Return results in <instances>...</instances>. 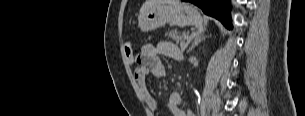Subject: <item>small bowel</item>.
Here are the masks:
<instances>
[{
    "instance_id": "c3829d8e",
    "label": "small bowel",
    "mask_w": 305,
    "mask_h": 116,
    "mask_svg": "<svg viewBox=\"0 0 305 116\" xmlns=\"http://www.w3.org/2000/svg\"><path fill=\"white\" fill-rule=\"evenodd\" d=\"M159 55L175 59H179L181 56L178 48L171 43L146 44L142 47L138 66L134 70V77L144 102L152 112L165 108L172 116H194L192 111L185 106L181 94L174 92L166 103H161L149 92L147 76L151 74L156 78H162L166 72Z\"/></svg>"
}]
</instances>
